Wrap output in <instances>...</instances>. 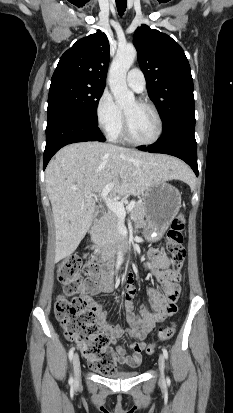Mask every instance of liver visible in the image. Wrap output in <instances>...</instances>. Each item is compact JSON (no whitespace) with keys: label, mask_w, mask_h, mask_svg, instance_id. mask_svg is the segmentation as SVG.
Returning <instances> with one entry per match:
<instances>
[{"label":"liver","mask_w":233,"mask_h":413,"mask_svg":"<svg viewBox=\"0 0 233 413\" xmlns=\"http://www.w3.org/2000/svg\"><path fill=\"white\" fill-rule=\"evenodd\" d=\"M180 160L101 142H79L59 150L46 169L55 226V262L70 256L92 224L93 197L109 183L113 196L143 194L152 185L184 179Z\"/></svg>","instance_id":"6515ba94"}]
</instances>
